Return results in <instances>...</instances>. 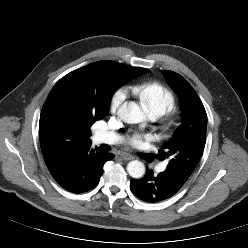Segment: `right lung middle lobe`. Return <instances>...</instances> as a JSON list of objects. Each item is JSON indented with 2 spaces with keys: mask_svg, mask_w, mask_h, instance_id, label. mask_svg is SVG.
<instances>
[{
  "mask_svg": "<svg viewBox=\"0 0 248 248\" xmlns=\"http://www.w3.org/2000/svg\"><path fill=\"white\" fill-rule=\"evenodd\" d=\"M148 72V69L140 67L127 66L121 63H117L114 68L108 69L104 76L106 81L100 84V95H110V98L114 91L128 82L132 78ZM103 76V75H102ZM94 82L85 81L74 85L72 82L63 83V95L58 101L59 107L65 112H75L78 110L76 104L81 102L83 104H90L95 99L94 94ZM94 121L89 123L90 127Z\"/></svg>",
  "mask_w": 248,
  "mask_h": 248,
  "instance_id": "dd1d6c3e",
  "label": "right lung middle lobe"
}]
</instances>
